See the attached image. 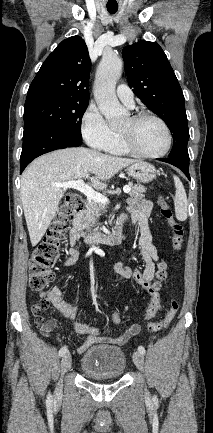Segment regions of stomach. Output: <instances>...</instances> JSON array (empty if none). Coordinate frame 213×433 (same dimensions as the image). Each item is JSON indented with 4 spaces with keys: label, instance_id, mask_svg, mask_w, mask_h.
<instances>
[{
    "label": "stomach",
    "instance_id": "1",
    "mask_svg": "<svg viewBox=\"0 0 213 433\" xmlns=\"http://www.w3.org/2000/svg\"><path fill=\"white\" fill-rule=\"evenodd\" d=\"M127 173L137 181L148 183L156 177V169L150 163L137 161L127 167Z\"/></svg>",
    "mask_w": 213,
    "mask_h": 433
}]
</instances>
